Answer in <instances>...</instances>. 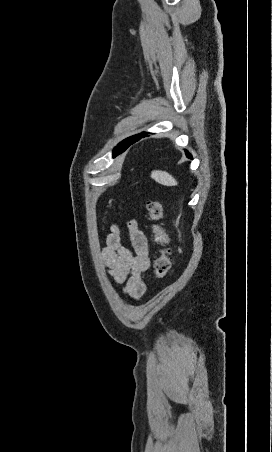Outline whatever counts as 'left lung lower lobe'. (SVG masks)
Wrapping results in <instances>:
<instances>
[{
	"label": "left lung lower lobe",
	"mask_w": 272,
	"mask_h": 452,
	"mask_svg": "<svg viewBox=\"0 0 272 452\" xmlns=\"http://www.w3.org/2000/svg\"><path fill=\"white\" fill-rule=\"evenodd\" d=\"M144 134H146V133H141V134L132 136L131 139H130L129 142H128V147H129L130 145H132L133 143L137 142V141L142 137V135H144ZM123 142H124V141H123ZM123 142L119 143L118 146L115 147V149L113 150V155H114V156H116V155L122 153L123 151H125V150L128 148V147H127L126 149H123V148L121 149V148H120V145H121ZM186 155H187L188 158H192V156H191L188 152H186Z\"/></svg>",
	"instance_id": "1"
}]
</instances>
